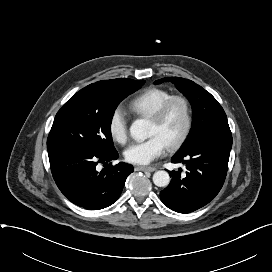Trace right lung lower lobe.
Segmentation results:
<instances>
[{
    "label": "right lung lower lobe",
    "instance_id": "obj_1",
    "mask_svg": "<svg viewBox=\"0 0 272 272\" xmlns=\"http://www.w3.org/2000/svg\"><path fill=\"white\" fill-rule=\"evenodd\" d=\"M118 158L116 149L110 153L70 151L50 158V168L56 185L72 203L99 210L112 205L120 196L127 176L133 167L120 162L101 172L98 163L107 164Z\"/></svg>",
    "mask_w": 272,
    "mask_h": 272
}]
</instances>
